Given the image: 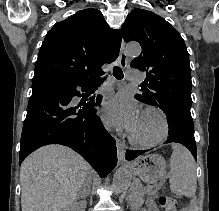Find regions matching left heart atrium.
I'll return each mask as SVG.
<instances>
[{
	"label": "left heart atrium",
	"instance_id": "39dd6f15",
	"mask_svg": "<svg viewBox=\"0 0 219 211\" xmlns=\"http://www.w3.org/2000/svg\"><path fill=\"white\" fill-rule=\"evenodd\" d=\"M140 117L137 104L125 95H117L108 100L101 109L102 121L107 126H115L132 131Z\"/></svg>",
	"mask_w": 219,
	"mask_h": 211
}]
</instances>
